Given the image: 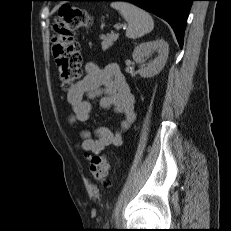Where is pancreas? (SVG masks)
Segmentation results:
<instances>
[{
	"label": "pancreas",
	"instance_id": "pancreas-1",
	"mask_svg": "<svg viewBox=\"0 0 231 231\" xmlns=\"http://www.w3.org/2000/svg\"><path fill=\"white\" fill-rule=\"evenodd\" d=\"M119 35L115 33L101 35V39L103 40L101 45L102 49L106 50L113 45V43L118 39Z\"/></svg>",
	"mask_w": 231,
	"mask_h": 231
}]
</instances>
